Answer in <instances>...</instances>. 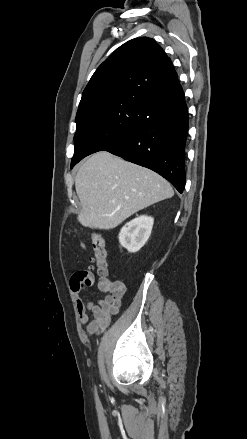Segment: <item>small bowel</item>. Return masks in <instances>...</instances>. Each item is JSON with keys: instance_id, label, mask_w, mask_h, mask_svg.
<instances>
[{"instance_id": "c3829d8e", "label": "small bowel", "mask_w": 247, "mask_h": 439, "mask_svg": "<svg viewBox=\"0 0 247 439\" xmlns=\"http://www.w3.org/2000/svg\"><path fill=\"white\" fill-rule=\"evenodd\" d=\"M94 280V275L90 271L76 272L70 279V289L75 299L79 321L87 325L90 334L99 333L108 327L111 317L120 311L121 300L126 290L121 281L104 279L100 287L106 292L104 298L96 301L81 298L82 290L91 286ZM89 312L92 314L91 320L88 316Z\"/></svg>"}]
</instances>
